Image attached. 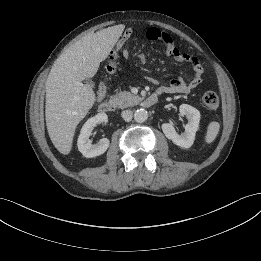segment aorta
Masks as SVG:
<instances>
[{
    "label": "aorta",
    "instance_id": "1",
    "mask_svg": "<svg viewBox=\"0 0 261 261\" xmlns=\"http://www.w3.org/2000/svg\"><path fill=\"white\" fill-rule=\"evenodd\" d=\"M134 119L136 122H145L148 119V112L143 108L137 109L134 113Z\"/></svg>",
    "mask_w": 261,
    "mask_h": 261
}]
</instances>
